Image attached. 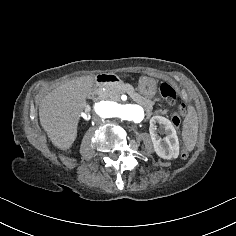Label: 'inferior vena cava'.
Instances as JSON below:
<instances>
[{
    "mask_svg": "<svg viewBox=\"0 0 236 236\" xmlns=\"http://www.w3.org/2000/svg\"><path fill=\"white\" fill-rule=\"evenodd\" d=\"M94 115H92V120L97 123V125H102V119H100V116H97V114H95V112L93 113Z\"/></svg>",
    "mask_w": 236,
    "mask_h": 236,
    "instance_id": "obj_1",
    "label": "inferior vena cava"
}]
</instances>
